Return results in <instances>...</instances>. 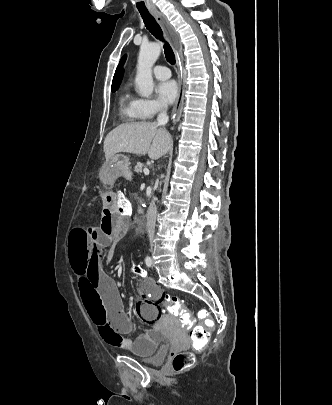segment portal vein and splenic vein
<instances>
[{
	"label": "portal vein and splenic vein",
	"mask_w": 332,
	"mask_h": 405,
	"mask_svg": "<svg viewBox=\"0 0 332 405\" xmlns=\"http://www.w3.org/2000/svg\"><path fill=\"white\" fill-rule=\"evenodd\" d=\"M143 172H144L145 175H149V169L148 168H144Z\"/></svg>",
	"instance_id": "18ae733b"
}]
</instances>
